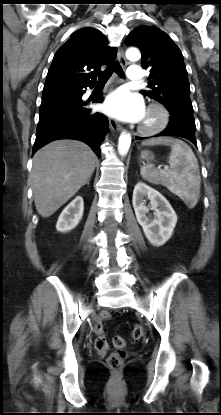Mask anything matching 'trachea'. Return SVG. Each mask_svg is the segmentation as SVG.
I'll list each match as a JSON object with an SVG mask.
<instances>
[{"label":"trachea","instance_id":"obj_1","mask_svg":"<svg viewBox=\"0 0 221 415\" xmlns=\"http://www.w3.org/2000/svg\"><path fill=\"white\" fill-rule=\"evenodd\" d=\"M113 71H115V73L123 78L124 77V71L121 67V65L118 62H115L112 66H110L104 73H102L99 76V83H105L107 82V80L110 78V76L112 75Z\"/></svg>","mask_w":221,"mask_h":415}]
</instances>
